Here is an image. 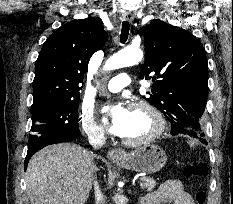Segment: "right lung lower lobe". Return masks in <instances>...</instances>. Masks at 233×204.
Listing matches in <instances>:
<instances>
[{"label":"right lung lower lobe","mask_w":233,"mask_h":204,"mask_svg":"<svg viewBox=\"0 0 233 204\" xmlns=\"http://www.w3.org/2000/svg\"><path fill=\"white\" fill-rule=\"evenodd\" d=\"M79 136H66V137H60V138H57L55 139L54 141H52L50 144L48 145H51V144H55V143H61V142H69V141H72V140H75L77 139ZM37 151H28L27 152V156L25 158V170L27 168V165H28V162L30 160V158L32 157V155L34 153H36Z\"/></svg>","instance_id":"98d812e1"}]
</instances>
